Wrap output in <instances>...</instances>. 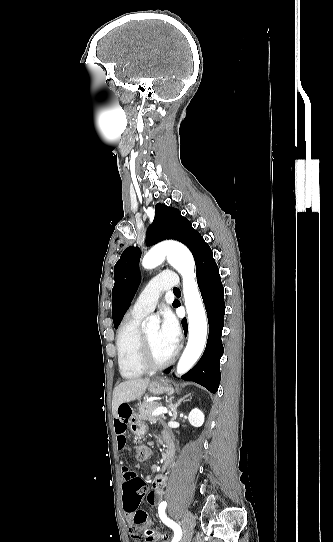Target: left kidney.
I'll use <instances>...</instances> for the list:
<instances>
[{"instance_id": "5707ae66", "label": "left kidney", "mask_w": 333, "mask_h": 542, "mask_svg": "<svg viewBox=\"0 0 333 542\" xmlns=\"http://www.w3.org/2000/svg\"><path fill=\"white\" fill-rule=\"evenodd\" d=\"M188 420L191 424V426H194V428H200V426H203L205 416L199 408H194V410H191Z\"/></svg>"}]
</instances>
